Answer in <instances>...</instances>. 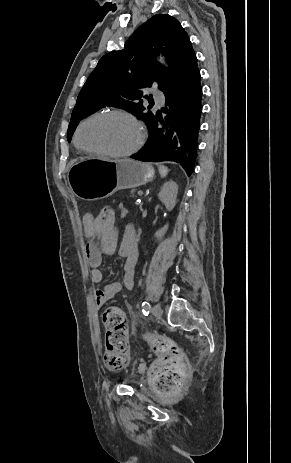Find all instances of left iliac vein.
<instances>
[{"instance_id":"1","label":"left iliac vein","mask_w":291,"mask_h":463,"mask_svg":"<svg viewBox=\"0 0 291 463\" xmlns=\"http://www.w3.org/2000/svg\"><path fill=\"white\" fill-rule=\"evenodd\" d=\"M151 312L156 318H161L162 316V310L159 304H155L152 307Z\"/></svg>"}]
</instances>
